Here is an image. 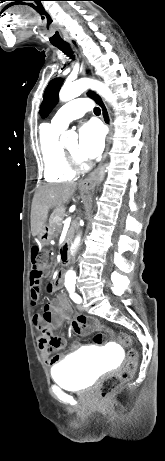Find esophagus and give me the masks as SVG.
Listing matches in <instances>:
<instances>
[{
	"instance_id": "34e87169",
	"label": "esophagus",
	"mask_w": 165,
	"mask_h": 461,
	"mask_svg": "<svg viewBox=\"0 0 165 461\" xmlns=\"http://www.w3.org/2000/svg\"><path fill=\"white\" fill-rule=\"evenodd\" d=\"M70 44L72 45V47L76 51L79 59L83 61V70H84L85 75L88 76V77H93L94 75H93L92 68L90 67L88 61L84 58V56L82 54L81 47L78 45V43L75 40H70ZM90 93L91 92H88V94H90ZM98 96L100 97V99L102 101L101 104H99L101 106L102 119H103V122L108 126L109 132H108V135H107L106 148H105V152L103 154L102 162L99 164V166L91 174H89L85 179H83V180H81L79 182V186L82 187V188H92L94 186V184H95V182L97 180L98 174L100 172L102 163H103V161L105 160V158H106V156L108 154L110 143H111V138H112V133H113L112 122H111V117H110L108 107H107L104 99L102 98V96H100L99 94H98Z\"/></svg>"
}]
</instances>
